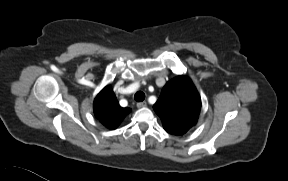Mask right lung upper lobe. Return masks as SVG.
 <instances>
[{"mask_svg": "<svg viewBox=\"0 0 288 181\" xmlns=\"http://www.w3.org/2000/svg\"><path fill=\"white\" fill-rule=\"evenodd\" d=\"M131 109L122 108L110 88L106 86L94 100V114L98 120L107 128L115 129Z\"/></svg>", "mask_w": 288, "mask_h": 181, "instance_id": "cb5924a9", "label": "right lung upper lobe"}]
</instances>
